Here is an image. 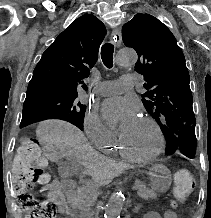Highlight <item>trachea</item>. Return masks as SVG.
<instances>
[{"label": "trachea", "mask_w": 211, "mask_h": 218, "mask_svg": "<svg viewBox=\"0 0 211 218\" xmlns=\"http://www.w3.org/2000/svg\"><path fill=\"white\" fill-rule=\"evenodd\" d=\"M114 46L111 43H105L101 48V58L107 68L113 67Z\"/></svg>", "instance_id": "obj_1"}]
</instances>
